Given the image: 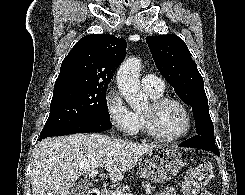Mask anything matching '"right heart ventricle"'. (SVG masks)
Wrapping results in <instances>:
<instances>
[{
    "instance_id": "1",
    "label": "right heart ventricle",
    "mask_w": 245,
    "mask_h": 195,
    "mask_svg": "<svg viewBox=\"0 0 245 195\" xmlns=\"http://www.w3.org/2000/svg\"><path fill=\"white\" fill-rule=\"evenodd\" d=\"M146 92L152 100L157 99L159 97H162V94H163V92H158V93L148 92V91H146ZM135 117H136V129H135L134 133H138L143 128L142 113L136 112Z\"/></svg>"
}]
</instances>
